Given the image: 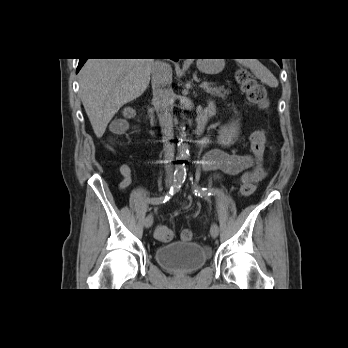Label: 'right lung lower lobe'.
Masks as SVG:
<instances>
[{
	"label": "right lung lower lobe",
	"mask_w": 348,
	"mask_h": 348,
	"mask_svg": "<svg viewBox=\"0 0 348 348\" xmlns=\"http://www.w3.org/2000/svg\"><path fill=\"white\" fill-rule=\"evenodd\" d=\"M87 59H79V64H78V67H77V73L79 72V70L81 69V67L84 65V63L86 62ZM175 61H177L178 59H173Z\"/></svg>",
	"instance_id": "1"
}]
</instances>
